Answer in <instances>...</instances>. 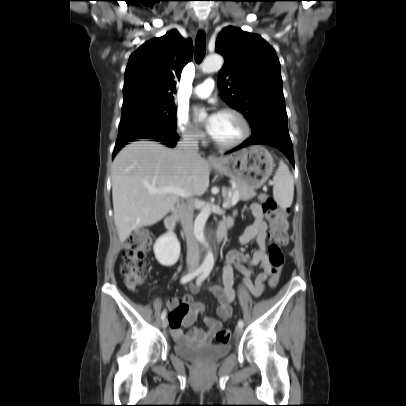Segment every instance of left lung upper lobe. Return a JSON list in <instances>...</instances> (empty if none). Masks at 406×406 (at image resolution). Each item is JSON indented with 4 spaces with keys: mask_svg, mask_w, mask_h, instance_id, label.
<instances>
[{
    "mask_svg": "<svg viewBox=\"0 0 406 406\" xmlns=\"http://www.w3.org/2000/svg\"><path fill=\"white\" fill-rule=\"evenodd\" d=\"M215 50L225 59L218 75L220 95L248 119L252 136H289L280 63L274 48L257 34L228 26L220 32Z\"/></svg>",
    "mask_w": 406,
    "mask_h": 406,
    "instance_id": "left-lung-upper-lobe-1",
    "label": "left lung upper lobe"
}]
</instances>
